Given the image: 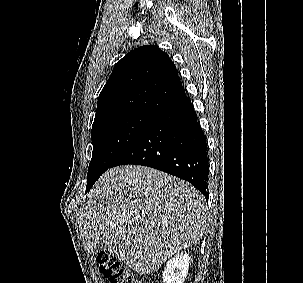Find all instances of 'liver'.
<instances>
[{
	"label": "liver",
	"instance_id": "liver-1",
	"mask_svg": "<svg viewBox=\"0 0 303 283\" xmlns=\"http://www.w3.org/2000/svg\"><path fill=\"white\" fill-rule=\"evenodd\" d=\"M205 220L206 200L196 188L132 165L106 171L80 214L86 250L98 252L104 242L111 254L140 274L157 271L175 253L196 244Z\"/></svg>",
	"mask_w": 303,
	"mask_h": 283
}]
</instances>
